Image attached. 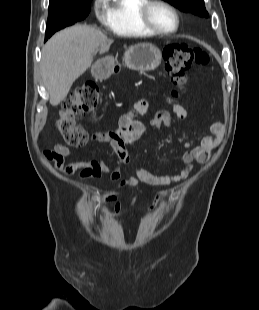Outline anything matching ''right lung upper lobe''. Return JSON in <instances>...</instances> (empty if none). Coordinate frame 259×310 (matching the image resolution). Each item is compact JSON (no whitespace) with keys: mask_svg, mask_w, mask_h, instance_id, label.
Returning <instances> with one entry per match:
<instances>
[{"mask_svg":"<svg viewBox=\"0 0 259 310\" xmlns=\"http://www.w3.org/2000/svg\"><path fill=\"white\" fill-rule=\"evenodd\" d=\"M89 0H50L49 1V7H55L60 5H71V4H78V3H84Z\"/></svg>","mask_w":259,"mask_h":310,"instance_id":"cb5924a9","label":"right lung upper lobe"}]
</instances>
